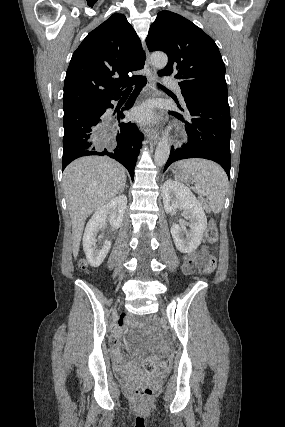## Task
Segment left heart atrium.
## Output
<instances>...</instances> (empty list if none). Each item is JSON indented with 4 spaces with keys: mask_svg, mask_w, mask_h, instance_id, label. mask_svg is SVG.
Listing matches in <instances>:
<instances>
[{
    "mask_svg": "<svg viewBox=\"0 0 285 427\" xmlns=\"http://www.w3.org/2000/svg\"><path fill=\"white\" fill-rule=\"evenodd\" d=\"M132 117L141 123H147L153 118V110L150 105L144 104L133 109Z\"/></svg>",
    "mask_w": 285,
    "mask_h": 427,
    "instance_id": "left-heart-atrium-1",
    "label": "left heart atrium"
}]
</instances>
